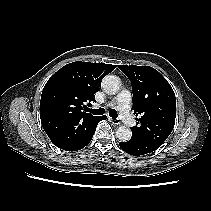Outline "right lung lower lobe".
Wrapping results in <instances>:
<instances>
[{"label": "right lung lower lobe", "mask_w": 211, "mask_h": 211, "mask_svg": "<svg viewBox=\"0 0 211 211\" xmlns=\"http://www.w3.org/2000/svg\"><path fill=\"white\" fill-rule=\"evenodd\" d=\"M105 119H106V116L98 117V119L77 139L76 142H74L70 147L65 148L63 150L77 151L85 147L91 141L95 133L97 124L101 120H105Z\"/></svg>", "instance_id": "obj_1"}]
</instances>
